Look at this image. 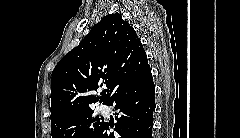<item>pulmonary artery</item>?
Returning <instances> with one entry per match:
<instances>
[{"instance_id": "obj_1", "label": "pulmonary artery", "mask_w": 240, "mask_h": 138, "mask_svg": "<svg viewBox=\"0 0 240 138\" xmlns=\"http://www.w3.org/2000/svg\"><path fill=\"white\" fill-rule=\"evenodd\" d=\"M106 106H101L102 109H105Z\"/></svg>"}]
</instances>
